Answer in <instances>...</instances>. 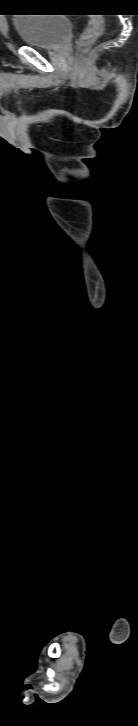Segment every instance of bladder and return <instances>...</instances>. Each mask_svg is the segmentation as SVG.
Instances as JSON below:
<instances>
[{"mask_svg":"<svg viewBox=\"0 0 138 726\" xmlns=\"http://www.w3.org/2000/svg\"><path fill=\"white\" fill-rule=\"evenodd\" d=\"M13 26L24 44L54 49L65 41L71 22L63 14H22L13 20Z\"/></svg>","mask_w":138,"mask_h":726,"instance_id":"31cf9c89","label":"bladder"}]
</instances>
